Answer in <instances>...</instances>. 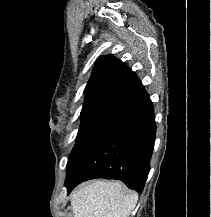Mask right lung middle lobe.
<instances>
[{"label":"right lung middle lobe","mask_w":211,"mask_h":217,"mask_svg":"<svg viewBox=\"0 0 211 217\" xmlns=\"http://www.w3.org/2000/svg\"><path fill=\"white\" fill-rule=\"evenodd\" d=\"M114 117L97 116L81 120L77 140L67 163V176L75 167L76 163L93 144L101 132L114 120Z\"/></svg>","instance_id":"obj_1"}]
</instances>
